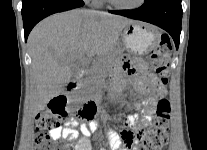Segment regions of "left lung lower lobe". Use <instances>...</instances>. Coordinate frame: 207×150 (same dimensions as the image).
<instances>
[{"mask_svg": "<svg viewBox=\"0 0 207 150\" xmlns=\"http://www.w3.org/2000/svg\"><path fill=\"white\" fill-rule=\"evenodd\" d=\"M128 18L145 21L166 30L178 49L181 33V0H148L135 10L109 11Z\"/></svg>", "mask_w": 207, "mask_h": 150, "instance_id": "0a47b994", "label": "left lung lower lobe"}]
</instances>
